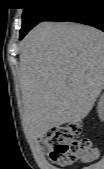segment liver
<instances>
[{
    "label": "liver",
    "instance_id": "obj_1",
    "mask_svg": "<svg viewBox=\"0 0 104 169\" xmlns=\"http://www.w3.org/2000/svg\"><path fill=\"white\" fill-rule=\"evenodd\" d=\"M20 88L28 134L79 122L104 85V34L70 22H43L20 44Z\"/></svg>",
    "mask_w": 104,
    "mask_h": 169
}]
</instances>
